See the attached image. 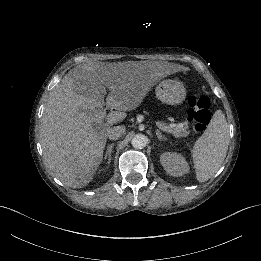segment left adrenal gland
Listing matches in <instances>:
<instances>
[{
	"label": "left adrenal gland",
	"instance_id": "obj_1",
	"mask_svg": "<svg viewBox=\"0 0 261 261\" xmlns=\"http://www.w3.org/2000/svg\"><path fill=\"white\" fill-rule=\"evenodd\" d=\"M156 135H157L158 141H161V140L166 141V138L159 132V130H156Z\"/></svg>",
	"mask_w": 261,
	"mask_h": 261
}]
</instances>
